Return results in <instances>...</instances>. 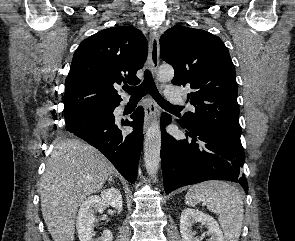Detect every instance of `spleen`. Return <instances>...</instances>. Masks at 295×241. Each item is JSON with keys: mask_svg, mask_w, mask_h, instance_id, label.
Instances as JSON below:
<instances>
[{"mask_svg": "<svg viewBox=\"0 0 295 241\" xmlns=\"http://www.w3.org/2000/svg\"><path fill=\"white\" fill-rule=\"evenodd\" d=\"M203 202L210 212L219 215L218 221L226 241H239L244 219L240 192L224 181H207L189 188L185 196L188 206Z\"/></svg>", "mask_w": 295, "mask_h": 241, "instance_id": "3e777b00", "label": "spleen"}]
</instances>
